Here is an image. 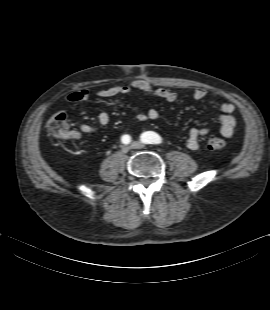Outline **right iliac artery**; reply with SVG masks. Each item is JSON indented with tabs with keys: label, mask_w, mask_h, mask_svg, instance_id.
<instances>
[{
	"label": "right iliac artery",
	"mask_w": 270,
	"mask_h": 310,
	"mask_svg": "<svg viewBox=\"0 0 270 310\" xmlns=\"http://www.w3.org/2000/svg\"><path fill=\"white\" fill-rule=\"evenodd\" d=\"M121 141L123 144H129L131 142V137L129 135H123Z\"/></svg>",
	"instance_id": "1"
}]
</instances>
